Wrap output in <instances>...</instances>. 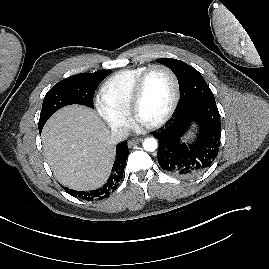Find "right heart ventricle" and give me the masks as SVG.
Instances as JSON below:
<instances>
[{
	"instance_id": "e07e8e85",
	"label": "right heart ventricle",
	"mask_w": 269,
	"mask_h": 269,
	"mask_svg": "<svg viewBox=\"0 0 269 269\" xmlns=\"http://www.w3.org/2000/svg\"><path fill=\"white\" fill-rule=\"evenodd\" d=\"M148 66L120 70L110 76L101 87V98L112 108L129 113L135 83Z\"/></svg>"
}]
</instances>
